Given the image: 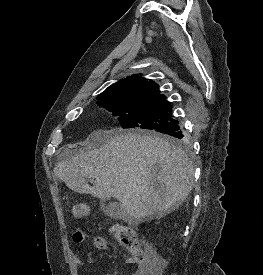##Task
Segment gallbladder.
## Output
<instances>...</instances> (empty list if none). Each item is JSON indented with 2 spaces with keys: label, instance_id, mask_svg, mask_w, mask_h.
Segmentation results:
<instances>
[{
  "label": "gallbladder",
  "instance_id": "obj_1",
  "mask_svg": "<svg viewBox=\"0 0 263 275\" xmlns=\"http://www.w3.org/2000/svg\"><path fill=\"white\" fill-rule=\"evenodd\" d=\"M103 211L110 217L118 219L123 216V209L118 203H110L107 206H103Z\"/></svg>",
  "mask_w": 263,
  "mask_h": 275
}]
</instances>
